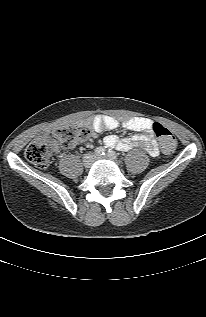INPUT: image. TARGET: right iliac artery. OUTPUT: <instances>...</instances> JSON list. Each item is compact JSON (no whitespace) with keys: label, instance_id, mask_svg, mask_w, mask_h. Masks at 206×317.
<instances>
[{"label":"right iliac artery","instance_id":"obj_1","mask_svg":"<svg viewBox=\"0 0 206 317\" xmlns=\"http://www.w3.org/2000/svg\"><path fill=\"white\" fill-rule=\"evenodd\" d=\"M106 153V149L104 147H97L95 150H94V154L98 155V156H102V155H105Z\"/></svg>","mask_w":206,"mask_h":317}]
</instances>
